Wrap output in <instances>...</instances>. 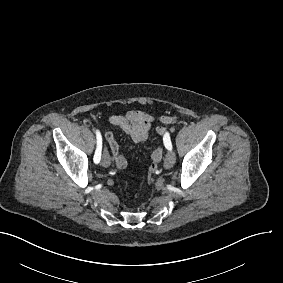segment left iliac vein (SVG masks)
Returning <instances> with one entry per match:
<instances>
[{"mask_svg":"<svg viewBox=\"0 0 283 283\" xmlns=\"http://www.w3.org/2000/svg\"><path fill=\"white\" fill-rule=\"evenodd\" d=\"M175 161H176V155L174 151L169 150L164 159V166L166 168H171L175 164Z\"/></svg>","mask_w":283,"mask_h":283,"instance_id":"left-iliac-vein-1","label":"left iliac vein"}]
</instances>
